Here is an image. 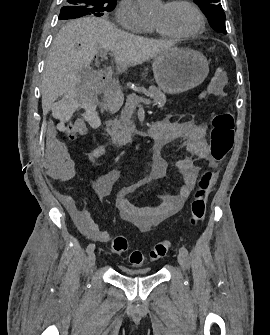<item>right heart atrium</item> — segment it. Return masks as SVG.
Wrapping results in <instances>:
<instances>
[{
  "instance_id": "obj_1",
  "label": "right heart atrium",
  "mask_w": 270,
  "mask_h": 335,
  "mask_svg": "<svg viewBox=\"0 0 270 335\" xmlns=\"http://www.w3.org/2000/svg\"><path fill=\"white\" fill-rule=\"evenodd\" d=\"M114 19L127 31L141 34H149L152 31L150 24L141 16L135 0H122Z\"/></svg>"
}]
</instances>
